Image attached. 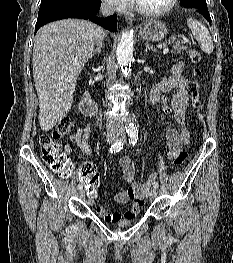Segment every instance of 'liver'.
I'll return each instance as SVG.
<instances>
[{"mask_svg":"<svg viewBox=\"0 0 233 263\" xmlns=\"http://www.w3.org/2000/svg\"><path fill=\"white\" fill-rule=\"evenodd\" d=\"M102 36L100 27L80 19L55 21L37 32L32 63L43 131L51 130L71 109L78 76Z\"/></svg>","mask_w":233,"mask_h":263,"instance_id":"6515ba94","label":"liver"}]
</instances>
